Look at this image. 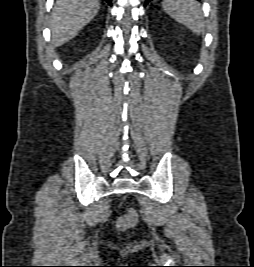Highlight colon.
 Returning <instances> with one entry per match:
<instances>
[{"mask_svg": "<svg viewBox=\"0 0 254 267\" xmlns=\"http://www.w3.org/2000/svg\"><path fill=\"white\" fill-rule=\"evenodd\" d=\"M138 221V216L135 210L129 208L126 213L119 218L117 225L120 229L124 230L127 228H131L136 225Z\"/></svg>", "mask_w": 254, "mask_h": 267, "instance_id": "obj_1", "label": "colon"}]
</instances>
